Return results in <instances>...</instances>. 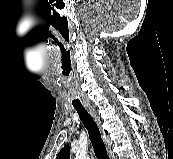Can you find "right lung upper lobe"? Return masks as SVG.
<instances>
[{"label":"right lung upper lobe","instance_id":"1","mask_svg":"<svg viewBox=\"0 0 173 159\" xmlns=\"http://www.w3.org/2000/svg\"><path fill=\"white\" fill-rule=\"evenodd\" d=\"M107 134V131H106ZM70 158V150L69 146L66 145L58 154L57 159H69Z\"/></svg>","mask_w":173,"mask_h":159}]
</instances>
